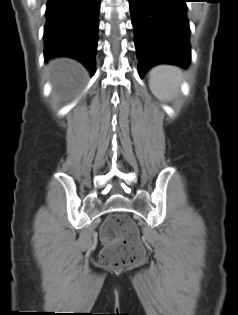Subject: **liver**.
<instances>
[{"label":"liver","mask_w":238,"mask_h":315,"mask_svg":"<svg viewBox=\"0 0 238 315\" xmlns=\"http://www.w3.org/2000/svg\"><path fill=\"white\" fill-rule=\"evenodd\" d=\"M54 94L65 97L82 87L87 77L86 69L70 58H56L47 66Z\"/></svg>","instance_id":"6515ba94"}]
</instances>
